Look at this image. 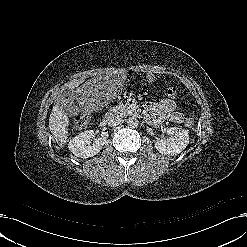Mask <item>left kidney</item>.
Wrapping results in <instances>:
<instances>
[{
	"label": "left kidney",
	"instance_id": "1",
	"mask_svg": "<svg viewBox=\"0 0 247 247\" xmlns=\"http://www.w3.org/2000/svg\"><path fill=\"white\" fill-rule=\"evenodd\" d=\"M169 137L158 138L155 141V148L164 155H177L181 153L189 144V134L187 130L171 127L166 130Z\"/></svg>",
	"mask_w": 247,
	"mask_h": 247
}]
</instances>
